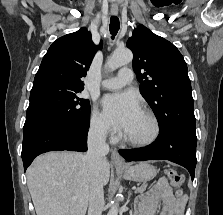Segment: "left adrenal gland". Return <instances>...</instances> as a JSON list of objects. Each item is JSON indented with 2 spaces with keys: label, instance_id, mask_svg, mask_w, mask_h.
Masks as SVG:
<instances>
[{
  "label": "left adrenal gland",
  "instance_id": "obj_1",
  "mask_svg": "<svg viewBox=\"0 0 223 215\" xmlns=\"http://www.w3.org/2000/svg\"><path fill=\"white\" fill-rule=\"evenodd\" d=\"M130 195H132L131 191H130V193H129L128 197H130ZM128 201H129V199H128Z\"/></svg>",
  "mask_w": 223,
  "mask_h": 215
}]
</instances>
